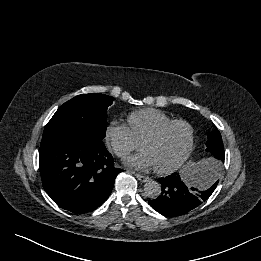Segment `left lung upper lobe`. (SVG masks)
I'll use <instances>...</instances> for the list:
<instances>
[{"mask_svg":"<svg viewBox=\"0 0 261 261\" xmlns=\"http://www.w3.org/2000/svg\"><path fill=\"white\" fill-rule=\"evenodd\" d=\"M206 145V151L210 152L214 156V159H211L210 161L215 162L218 165H222V163L224 162L225 154L222 137L218 130L209 133Z\"/></svg>","mask_w":261,"mask_h":261,"instance_id":"1","label":"left lung upper lobe"}]
</instances>
